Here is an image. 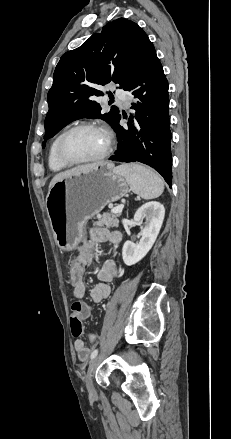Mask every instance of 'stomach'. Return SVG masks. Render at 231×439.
<instances>
[{"instance_id": "1", "label": "stomach", "mask_w": 231, "mask_h": 439, "mask_svg": "<svg viewBox=\"0 0 231 439\" xmlns=\"http://www.w3.org/2000/svg\"><path fill=\"white\" fill-rule=\"evenodd\" d=\"M128 190L125 177L109 162L55 183L47 194L46 210L57 246L64 251L75 249L87 221Z\"/></svg>"}]
</instances>
